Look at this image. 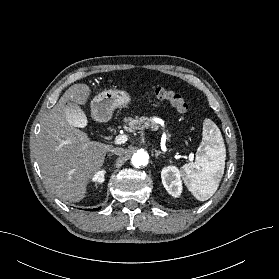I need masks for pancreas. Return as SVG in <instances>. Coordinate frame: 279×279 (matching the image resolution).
<instances>
[{"label":"pancreas","instance_id":"cf45deb5","mask_svg":"<svg viewBox=\"0 0 279 279\" xmlns=\"http://www.w3.org/2000/svg\"><path fill=\"white\" fill-rule=\"evenodd\" d=\"M124 129L128 132H134L140 128L151 127L154 130L158 129V125L154 122L153 118H148L145 116L135 117V118H125L124 119Z\"/></svg>","mask_w":279,"mask_h":279}]
</instances>
